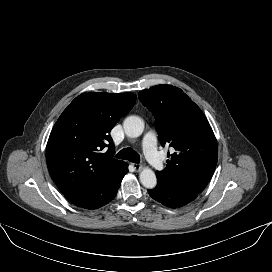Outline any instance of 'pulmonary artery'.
Returning a JSON list of instances; mask_svg holds the SVG:
<instances>
[{"instance_id":"obj_1","label":"pulmonary artery","mask_w":272,"mask_h":272,"mask_svg":"<svg viewBox=\"0 0 272 272\" xmlns=\"http://www.w3.org/2000/svg\"><path fill=\"white\" fill-rule=\"evenodd\" d=\"M142 147L151 165L156 169H161L163 167V159L156 149V136L153 132L150 131L144 136Z\"/></svg>"}]
</instances>
